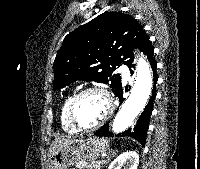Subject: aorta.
Returning <instances> with one entry per match:
<instances>
[{"instance_id": "1", "label": "aorta", "mask_w": 200, "mask_h": 169, "mask_svg": "<svg viewBox=\"0 0 200 169\" xmlns=\"http://www.w3.org/2000/svg\"><path fill=\"white\" fill-rule=\"evenodd\" d=\"M153 85L152 72L147 60L141 56L137 61V75L129 98L123 103L116 115L112 131L120 133L127 130L134 119L145 108L150 97Z\"/></svg>"}]
</instances>
